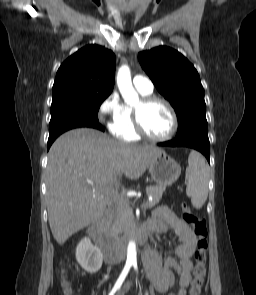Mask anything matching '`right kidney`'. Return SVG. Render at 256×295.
Returning a JSON list of instances; mask_svg holds the SVG:
<instances>
[{
  "label": "right kidney",
  "mask_w": 256,
  "mask_h": 295,
  "mask_svg": "<svg viewBox=\"0 0 256 295\" xmlns=\"http://www.w3.org/2000/svg\"><path fill=\"white\" fill-rule=\"evenodd\" d=\"M76 259L86 272L93 274L100 270L103 255L99 248L92 245L88 237H84L77 245Z\"/></svg>",
  "instance_id": "obj_1"
}]
</instances>
